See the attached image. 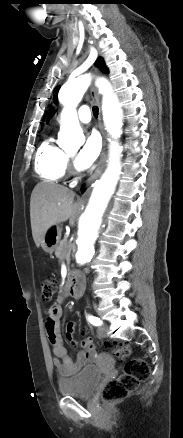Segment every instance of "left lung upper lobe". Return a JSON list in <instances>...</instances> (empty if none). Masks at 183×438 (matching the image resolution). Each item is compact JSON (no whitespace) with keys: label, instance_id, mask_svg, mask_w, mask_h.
Segmentation results:
<instances>
[{"label":"left lung upper lobe","instance_id":"left-lung-upper-lobe-1","mask_svg":"<svg viewBox=\"0 0 183 438\" xmlns=\"http://www.w3.org/2000/svg\"><path fill=\"white\" fill-rule=\"evenodd\" d=\"M97 65H98V67L100 68V70H101L102 72H104V73H107V72H108V69H107V67L105 66L104 60H103L102 58H99V59L97 60ZM58 90H59V87H57V88L55 89V91H54V102H55V103H57V93H58ZM53 112H54V108L52 107V108L49 110L48 115H49V116H52V115H53Z\"/></svg>","mask_w":183,"mask_h":438}]
</instances>
